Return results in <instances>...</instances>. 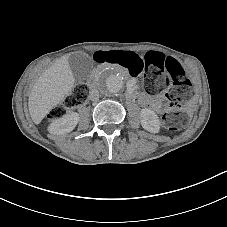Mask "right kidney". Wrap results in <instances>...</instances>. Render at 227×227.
I'll return each instance as SVG.
<instances>
[{
  "label": "right kidney",
  "instance_id": "right-kidney-1",
  "mask_svg": "<svg viewBox=\"0 0 227 227\" xmlns=\"http://www.w3.org/2000/svg\"><path fill=\"white\" fill-rule=\"evenodd\" d=\"M79 121L77 113L64 115L63 117L55 120L49 127V132L52 134H65L71 132Z\"/></svg>",
  "mask_w": 227,
  "mask_h": 227
}]
</instances>
